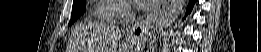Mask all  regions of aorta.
<instances>
[{"instance_id":"1","label":"aorta","mask_w":261,"mask_h":52,"mask_svg":"<svg viewBox=\"0 0 261 52\" xmlns=\"http://www.w3.org/2000/svg\"><path fill=\"white\" fill-rule=\"evenodd\" d=\"M186 0H171L170 4L155 20L152 27L154 36L159 35L178 18L185 6Z\"/></svg>"}]
</instances>
